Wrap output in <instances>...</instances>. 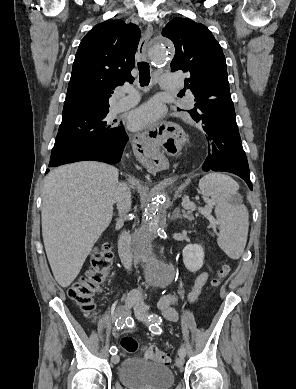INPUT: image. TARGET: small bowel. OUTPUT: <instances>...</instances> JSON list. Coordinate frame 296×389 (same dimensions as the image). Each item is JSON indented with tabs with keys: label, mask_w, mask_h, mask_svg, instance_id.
<instances>
[{
	"label": "small bowel",
	"mask_w": 296,
	"mask_h": 389,
	"mask_svg": "<svg viewBox=\"0 0 296 389\" xmlns=\"http://www.w3.org/2000/svg\"><path fill=\"white\" fill-rule=\"evenodd\" d=\"M208 279L207 272H202L194 281L192 288L188 293L185 290L180 289L176 294H171L163 297L159 302L160 309L165 313L166 317L171 321H177L178 315L173 308V305L177 300L186 295L190 302H194L199 296L202 287L205 285Z\"/></svg>",
	"instance_id": "c3829d8e"
}]
</instances>
